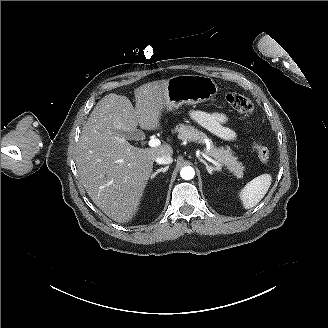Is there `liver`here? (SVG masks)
<instances>
[{
	"instance_id": "obj_1",
	"label": "liver",
	"mask_w": 328,
	"mask_h": 328,
	"mask_svg": "<svg viewBox=\"0 0 328 328\" xmlns=\"http://www.w3.org/2000/svg\"><path fill=\"white\" fill-rule=\"evenodd\" d=\"M166 80L136 88L135 108L126 96L114 93L103 97L83 126L76 164L88 195L104 214L118 223L132 219L137 212L151 175L154 160L172 155L168 144L153 148L132 146L112 129L134 131L160 126Z\"/></svg>"
}]
</instances>
